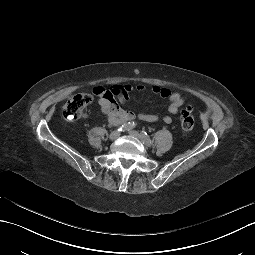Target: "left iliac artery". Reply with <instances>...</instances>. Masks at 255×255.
Wrapping results in <instances>:
<instances>
[{"instance_id":"left-iliac-artery-1","label":"left iliac artery","mask_w":255,"mask_h":255,"mask_svg":"<svg viewBox=\"0 0 255 255\" xmlns=\"http://www.w3.org/2000/svg\"><path fill=\"white\" fill-rule=\"evenodd\" d=\"M141 137L145 144L151 145L152 141L145 131H141Z\"/></svg>"}]
</instances>
